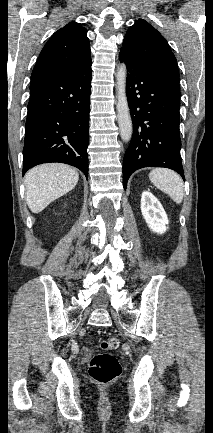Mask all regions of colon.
<instances>
[{"mask_svg": "<svg viewBox=\"0 0 213 433\" xmlns=\"http://www.w3.org/2000/svg\"><path fill=\"white\" fill-rule=\"evenodd\" d=\"M119 346V341L114 337H109L100 342L101 349L105 351L115 350ZM88 372L90 377L98 384L107 385L115 381L122 372L119 360L110 353H100L94 355L90 362Z\"/></svg>", "mask_w": 213, "mask_h": 433, "instance_id": "colon-1", "label": "colon"}]
</instances>
